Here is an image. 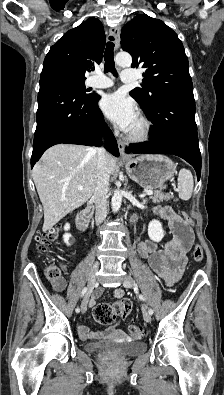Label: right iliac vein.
Returning a JSON list of instances; mask_svg holds the SVG:
<instances>
[{
	"instance_id": "obj_1",
	"label": "right iliac vein",
	"mask_w": 224,
	"mask_h": 395,
	"mask_svg": "<svg viewBox=\"0 0 224 395\" xmlns=\"http://www.w3.org/2000/svg\"><path fill=\"white\" fill-rule=\"evenodd\" d=\"M98 269H99V263L95 262L93 264V266H92L91 272H90L89 277H88L89 291L86 294V296H85V298H84V300L82 302V307H81L82 313H84L86 311V309H87V304H88L90 292L93 289V286L95 284V279H96V275H97Z\"/></svg>"
}]
</instances>
